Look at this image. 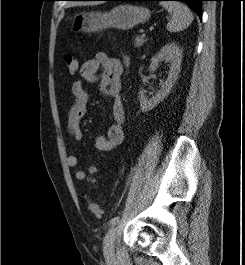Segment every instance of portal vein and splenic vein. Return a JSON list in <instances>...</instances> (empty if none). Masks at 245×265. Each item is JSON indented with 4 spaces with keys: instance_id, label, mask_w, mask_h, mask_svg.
Instances as JSON below:
<instances>
[{
    "instance_id": "18ae733b",
    "label": "portal vein and splenic vein",
    "mask_w": 245,
    "mask_h": 265,
    "mask_svg": "<svg viewBox=\"0 0 245 265\" xmlns=\"http://www.w3.org/2000/svg\"><path fill=\"white\" fill-rule=\"evenodd\" d=\"M145 36H146V33H143V34H142V37H145Z\"/></svg>"
}]
</instances>
